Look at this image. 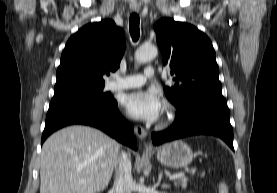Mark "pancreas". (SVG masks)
<instances>
[{
	"instance_id": "1",
	"label": "pancreas",
	"mask_w": 277,
	"mask_h": 193,
	"mask_svg": "<svg viewBox=\"0 0 277 193\" xmlns=\"http://www.w3.org/2000/svg\"><path fill=\"white\" fill-rule=\"evenodd\" d=\"M187 178H180L178 181L175 182V185H181V187L185 188L187 186Z\"/></svg>"
}]
</instances>
